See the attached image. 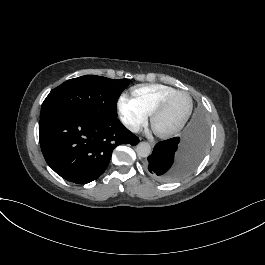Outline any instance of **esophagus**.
<instances>
[{
    "mask_svg": "<svg viewBox=\"0 0 265 265\" xmlns=\"http://www.w3.org/2000/svg\"><path fill=\"white\" fill-rule=\"evenodd\" d=\"M150 144H151L152 146H154V145H155V142H154V141H150Z\"/></svg>",
    "mask_w": 265,
    "mask_h": 265,
    "instance_id": "1",
    "label": "esophagus"
}]
</instances>
